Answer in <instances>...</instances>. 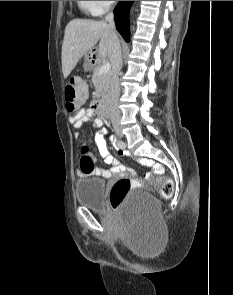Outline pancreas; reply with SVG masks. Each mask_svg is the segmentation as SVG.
<instances>
[{"label":"pancreas","instance_id":"pancreas-1","mask_svg":"<svg viewBox=\"0 0 233 295\" xmlns=\"http://www.w3.org/2000/svg\"><path fill=\"white\" fill-rule=\"evenodd\" d=\"M101 66V63H98L94 67L92 74V82L98 95H104V91H106L109 88V82L111 77L110 72L99 74V69Z\"/></svg>","mask_w":233,"mask_h":295}]
</instances>
